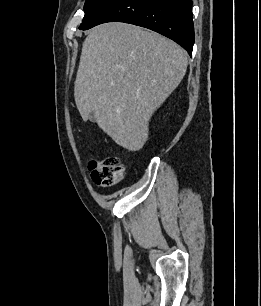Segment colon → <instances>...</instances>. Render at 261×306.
I'll use <instances>...</instances> for the list:
<instances>
[{
  "mask_svg": "<svg viewBox=\"0 0 261 306\" xmlns=\"http://www.w3.org/2000/svg\"><path fill=\"white\" fill-rule=\"evenodd\" d=\"M91 178L97 186H108L120 181L124 176V167L118 157H108L100 163L90 165Z\"/></svg>",
  "mask_w": 261,
  "mask_h": 306,
  "instance_id": "1",
  "label": "colon"
}]
</instances>
